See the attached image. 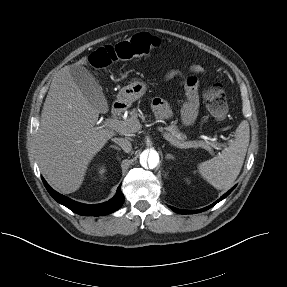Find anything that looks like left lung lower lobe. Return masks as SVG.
Returning a JSON list of instances; mask_svg holds the SVG:
<instances>
[{"instance_id":"left-lung-lower-lobe-1","label":"left lung lower lobe","mask_w":287,"mask_h":287,"mask_svg":"<svg viewBox=\"0 0 287 287\" xmlns=\"http://www.w3.org/2000/svg\"><path fill=\"white\" fill-rule=\"evenodd\" d=\"M235 188V186L230 189L226 194H224L223 196H221V198L219 200H217L216 202H214L213 204H211L210 206L208 207H205L203 209H199V210H182V209H178V208H175V207H171V209L177 213H181V214H193V213H199V212H202V211H205L209 208H211L212 206H214L216 203H218L219 201L223 200L224 198L227 197V195H229L231 193V191Z\"/></svg>"}]
</instances>
